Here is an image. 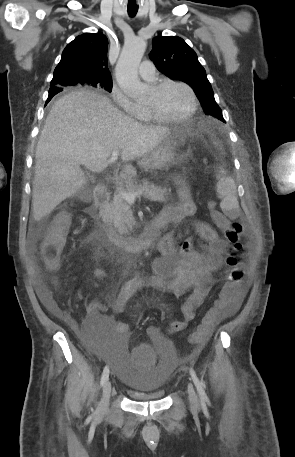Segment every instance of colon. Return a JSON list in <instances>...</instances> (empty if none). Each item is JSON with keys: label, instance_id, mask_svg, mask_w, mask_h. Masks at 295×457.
<instances>
[{"label": "colon", "instance_id": "colon-1", "mask_svg": "<svg viewBox=\"0 0 295 457\" xmlns=\"http://www.w3.org/2000/svg\"><path fill=\"white\" fill-rule=\"evenodd\" d=\"M211 218L225 234L227 240L233 246V252L226 259L224 279L226 283L221 289L219 299L214 307L204 316L201 324L191 337L195 344L204 343L221 311L231 310L240 296L241 283L244 278V268L238 252L242 249V225L229 220L224 214L211 207ZM68 214H59L42 239L40 254L45 266L56 271L60 267L61 252L65 243V236L69 226ZM132 358L134 360L135 372H151L155 352L153 346H133Z\"/></svg>", "mask_w": 295, "mask_h": 457}]
</instances>
